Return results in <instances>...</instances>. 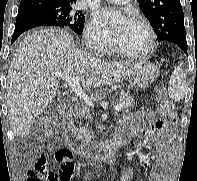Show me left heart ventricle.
<instances>
[{"instance_id": "b2bd125f", "label": "left heart ventricle", "mask_w": 197, "mask_h": 181, "mask_svg": "<svg viewBox=\"0 0 197 181\" xmlns=\"http://www.w3.org/2000/svg\"><path fill=\"white\" fill-rule=\"evenodd\" d=\"M117 44L130 51L138 52L144 50L149 42V34L141 24L129 21L127 26L116 37Z\"/></svg>"}]
</instances>
